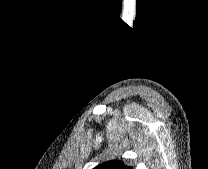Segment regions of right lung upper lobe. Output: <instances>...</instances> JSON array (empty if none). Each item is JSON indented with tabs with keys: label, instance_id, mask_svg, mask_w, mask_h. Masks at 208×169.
<instances>
[{
	"label": "right lung upper lobe",
	"instance_id": "cb5924a9",
	"mask_svg": "<svg viewBox=\"0 0 208 169\" xmlns=\"http://www.w3.org/2000/svg\"><path fill=\"white\" fill-rule=\"evenodd\" d=\"M94 169H132V168L125 165L120 160H111L96 166Z\"/></svg>",
	"mask_w": 208,
	"mask_h": 169
}]
</instances>
